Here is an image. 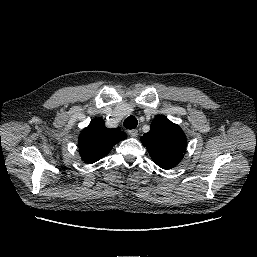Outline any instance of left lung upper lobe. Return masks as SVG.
Segmentation results:
<instances>
[{
	"instance_id": "left-lung-upper-lobe-1",
	"label": "left lung upper lobe",
	"mask_w": 257,
	"mask_h": 257,
	"mask_svg": "<svg viewBox=\"0 0 257 257\" xmlns=\"http://www.w3.org/2000/svg\"><path fill=\"white\" fill-rule=\"evenodd\" d=\"M141 142L152 160L163 169L176 166L187 147V139L181 128L160 115L153 119L150 131L141 137Z\"/></svg>"
}]
</instances>
